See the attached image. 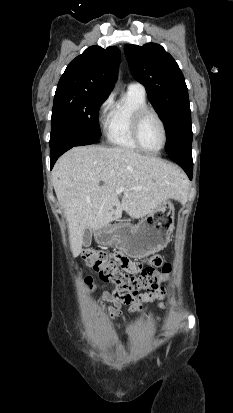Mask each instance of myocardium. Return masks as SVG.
I'll return each instance as SVG.
<instances>
[{"mask_svg": "<svg viewBox=\"0 0 233 413\" xmlns=\"http://www.w3.org/2000/svg\"><path fill=\"white\" fill-rule=\"evenodd\" d=\"M149 114L153 115L158 120V122L161 126V130H162V143H161V146L156 150L147 149L143 145V143L141 141V137H140L141 124H142L144 118ZM131 134H132V138H133L135 144L138 146V148L140 150L146 152V153H149V154H158V153H160L165 148L166 143H167V129H166L165 122L163 121L160 114L154 108L149 107V106L141 107L134 113L132 123H131Z\"/></svg>", "mask_w": 233, "mask_h": 413, "instance_id": "f54148a6", "label": "myocardium"}]
</instances>
